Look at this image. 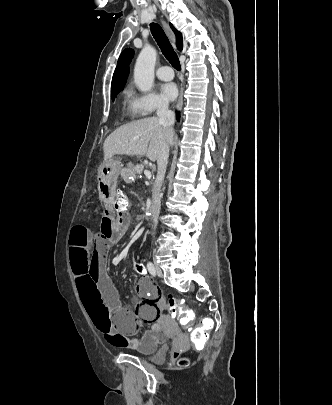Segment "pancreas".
Listing matches in <instances>:
<instances>
[{
  "label": "pancreas",
  "mask_w": 332,
  "mask_h": 405,
  "mask_svg": "<svg viewBox=\"0 0 332 405\" xmlns=\"http://www.w3.org/2000/svg\"><path fill=\"white\" fill-rule=\"evenodd\" d=\"M143 170H144V166H143L142 164L138 165V166L135 168V172H136L137 174H141V173L143 172Z\"/></svg>",
  "instance_id": "1"
}]
</instances>
